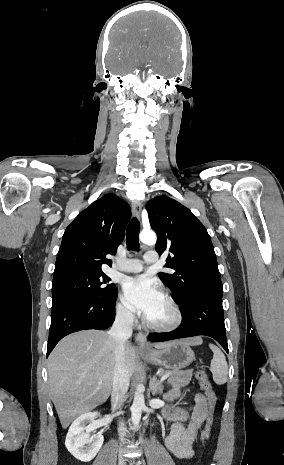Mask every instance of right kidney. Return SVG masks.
Wrapping results in <instances>:
<instances>
[{
  "mask_svg": "<svg viewBox=\"0 0 284 465\" xmlns=\"http://www.w3.org/2000/svg\"><path fill=\"white\" fill-rule=\"evenodd\" d=\"M97 415L99 413H84V415L75 419L67 433L66 449L70 451L75 459L83 461V463L92 461L103 445L104 439L102 435H88V433H85L92 427L88 423H92Z\"/></svg>",
  "mask_w": 284,
  "mask_h": 465,
  "instance_id": "ca27d5eb",
  "label": "right kidney"
}]
</instances>
